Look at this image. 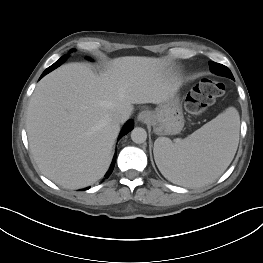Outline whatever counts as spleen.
<instances>
[{
	"instance_id": "spleen-1",
	"label": "spleen",
	"mask_w": 263,
	"mask_h": 263,
	"mask_svg": "<svg viewBox=\"0 0 263 263\" xmlns=\"http://www.w3.org/2000/svg\"><path fill=\"white\" fill-rule=\"evenodd\" d=\"M240 118L227 108L187 138L172 142L159 137L154 158L162 175L184 187H199L215 181L234 158L239 143Z\"/></svg>"
}]
</instances>
